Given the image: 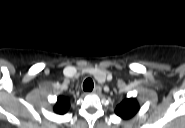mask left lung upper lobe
Returning a JSON list of instances; mask_svg holds the SVG:
<instances>
[{
	"label": "left lung upper lobe",
	"mask_w": 185,
	"mask_h": 128,
	"mask_svg": "<svg viewBox=\"0 0 185 128\" xmlns=\"http://www.w3.org/2000/svg\"><path fill=\"white\" fill-rule=\"evenodd\" d=\"M135 103L131 100H125L117 106L116 111L122 117H129L133 114Z\"/></svg>",
	"instance_id": "left-lung-upper-lobe-1"
}]
</instances>
